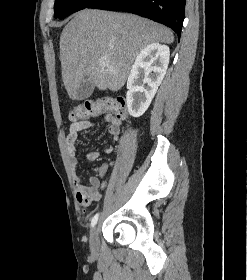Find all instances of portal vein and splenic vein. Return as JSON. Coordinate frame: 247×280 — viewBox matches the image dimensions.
<instances>
[{
    "label": "portal vein and splenic vein",
    "instance_id": "obj_1",
    "mask_svg": "<svg viewBox=\"0 0 247 280\" xmlns=\"http://www.w3.org/2000/svg\"><path fill=\"white\" fill-rule=\"evenodd\" d=\"M107 63H108L107 59H103L99 62V65L100 66H105V65H107Z\"/></svg>",
    "mask_w": 247,
    "mask_h": 280
}]
</instances>
